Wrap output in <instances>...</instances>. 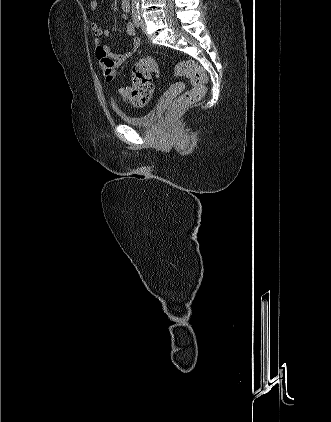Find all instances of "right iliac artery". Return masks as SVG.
I'll use <instances>...</instances> for the list:
<instances>
[{
  "label": "right iliac artery",
  "mask_w": 331,
  "mask_h": 422,
  "mask_svg": "<svg viewBox=\"0 0 331 422\" xmlns=\"http://www.w3.org/2000/svg\"><path fill=\"white\" fill-rule=\"evenodd\" d=\"M132 18H133V22H134L135 26L137 28H139L140 25H141L140 12L139 11H133Z\"/></svg>",
  "instance_id": "obj_1"
}]
</instances>
